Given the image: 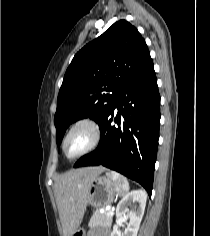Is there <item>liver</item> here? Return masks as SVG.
<instances>
[{"label": "liver", "mask_w": 210, "mask_h": 236, "mask_svg": "<svg viewBox=\"0 0 210 236\" xmlns=\"http://www.w3.org/2000/svg\"><path fill=\"white\" fill-rule=\"evenodd\" d=\"M103 171L105 168L101 166L74 169L55 180L54 192L64 236H72L80 226L90 184Z\"/></svg>", "instance_id": "obj_1"}]
</instances>
